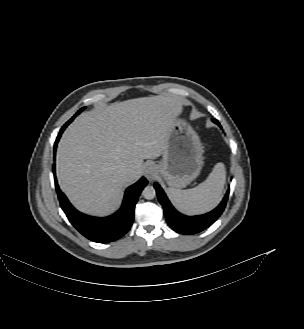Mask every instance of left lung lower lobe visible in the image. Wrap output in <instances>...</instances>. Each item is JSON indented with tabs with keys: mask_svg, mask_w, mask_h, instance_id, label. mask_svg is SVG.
Segmentation results:
<instances>
[{
	"mask_svg": "<svg viewBox=\"0 0 304 329\" xmlns=\"http://www.w3.org/2000/svg\"><path fill=\"white\" fill-rule=\"evenodd\" d=\"M213 122L220 126L217 120L213 119ZM154 188L156 189L158 200L164 208V215L169 226L174 231L185 235L196 234L211 226L224 211L229 195L228 189L222 202L209 213L199 216H185L174 209L158 183L154 184Z\"/></svg>",
	"mask_w": 304,
	"mask_h": 329,
	"instance_id": "1",
	"label": "left lung lower lobe"
}]
</instances>
